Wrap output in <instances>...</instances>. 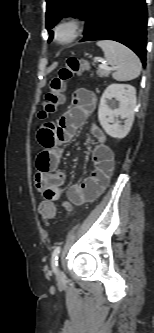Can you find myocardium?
Returning a JSON list of instances; mask_svg holds the SVG:
<instances>
[{
    "mask_svg": "<svg viewBox=\"0 0 154 333\" xmlns=\"http://www.w3.org/2000/svg\"><path fill=\"white\" fill-rule=\"evenodd\" d=\"M83 22L76 16H68L57 22L54 28V39L66 45L75 41L81 34Z\"/></svg>",
    "mask_w": 154,
    "mask_h": 333,
    "instance_id": "1",
    "label": "myocardium"
}]
</instances>
